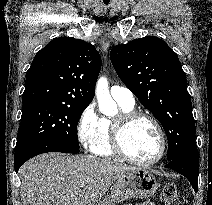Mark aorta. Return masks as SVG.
<instances>
[{
	"label": "aorta",
	"instance_id": "762f6f07",
	"mask_svg": "<svg viewBox=\"0 0 212 205\" xmlns=\"http://www.w3.org/2000/svg\"><path fill=\"white\" fill-rule=\"evenodd\" d=\"M95 95L98 101L99 109L106 115L116 112V104L112 100L109 92L108 81L105 77H100L96 83Z\"/></svg>",
	"mask_w": 212,
	"mask_h": 205
}]
</instances>
